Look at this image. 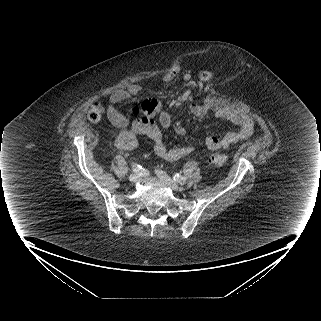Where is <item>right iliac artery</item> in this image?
I'll return each mask as SVG.
<instances>
[{"instance_id": "right-iliac-artery-1", "label": "right iliac artery", "mask_w": 321, "mask_h": 321, "mask_svg": "<svg viewBox=\"0 0 321 321\" xmlns=\"http://www.w3.org/2000/svg\"><path fill=\"white\" fill-rule=\"evenodd\" d=\"M133 171H135L136 173H139L142 171V167L140 165L133 164Z\"/></svg>"}]
</instances>
